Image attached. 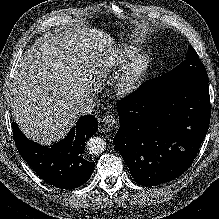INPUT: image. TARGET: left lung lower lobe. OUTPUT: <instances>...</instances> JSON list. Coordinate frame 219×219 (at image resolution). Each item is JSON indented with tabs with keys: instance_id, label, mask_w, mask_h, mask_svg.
I'll return each instance as SVG.
<instances>
[{
	"instance_id": "left-lung-lower-lobe-1",
	"label": "left lung lower lobe",
	"mask_w": 219,
	"mask_h": 219,
	"mask_svg": "<svg viewBox=\"0 0 219 219\" xmlns=\"http://www.w3.org/2000/svg\"><path fill=\"white\" fill-rule=\"evenodd\" d=\"M117 111L121 124L113 143L134 180L156 186L192 164L210 123L209 85L188 81L150 91L145 82Z\"/></svg>"
}]
</instances>
